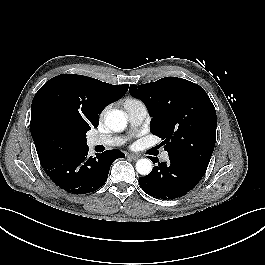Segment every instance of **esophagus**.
<instances>
[{"label":"esophagus","instance_id":"34e87169","mask_svg":"<svg viewBox=\"0 0 265 265\" xmlns=\"http://www.w3.org/2000/svg\"><path fill=\"white\" fill-rule=\"evenodd\" d=\"M128 157L133 159V160H137L139 158V156L136 154H128Z\"/></svg>","mask_w":265,"mask_h":265}]
</instances>
